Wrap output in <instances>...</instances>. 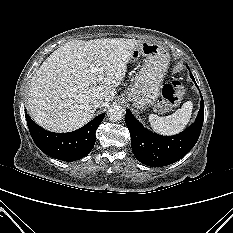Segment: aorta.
I'll return each instance as SVG.
<instances>
[{
    "label": "aorta",
    "mask_w": 233,
    "mask_h": 233,
    "mask_svg": "<svg viewBox=\"0 0 233 233\" xmlns=\"http://www.w3.org/2000/svg\"><path fill=\"white\" fill-rule=\"evenodd\" d=\"M107 115L110 120L119 121L124 117L125 109L120 105H114L108 110Z\"/></svg>",
    "instance_id": "aorta-1"
}]
</instances>
